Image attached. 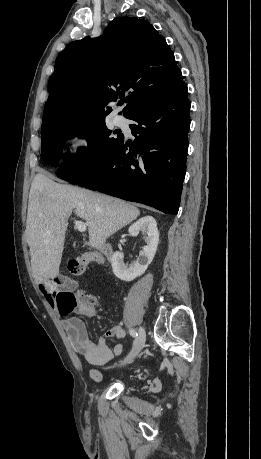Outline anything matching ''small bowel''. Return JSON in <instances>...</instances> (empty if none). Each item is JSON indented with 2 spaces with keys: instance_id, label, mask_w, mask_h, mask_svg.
Returning a JSON list of instances; mask_svg holds the SVG:
<instances>
[{
  "instance_id": "obj_1",
  "label": "small bowel",
  "mask_w": 261,
  "mask_h": 459,
  "mask_svg": "<svg viewBox=\"0 0 261 459\" xmlns=\"http://www.w3.org/2000/svg\"><path fill=\"white\" fill-rule=\"evenodd\" d=\"M92 256V261L103 265L105 263L103 257L98 253H89ZM57 281L62 284L59 289L50 290L46 284H41L40 288L48 303L57 311L62 318V326L65 329L68 338L79 355H81L90 365L99 367L110 362L114 357H118L123 352L121 341L125 338V331L121 326H113L104 336L94 341L85 323L77 316L62 315L60 312V304L62 298L70 293H74L77 288V283L73 280L59 277ZM83 314L87 317L96 316V311H86ZM108 338H115L120 341L113 348L107 344ZM89 374L95 381L102 380V373L97 369H91Z\"/></svg>"
}]
</instances>
